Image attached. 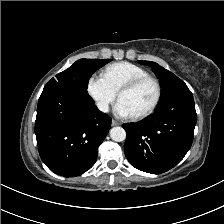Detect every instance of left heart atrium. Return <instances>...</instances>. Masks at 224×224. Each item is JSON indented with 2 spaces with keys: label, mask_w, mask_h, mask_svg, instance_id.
Instances as JSON below:
<instances>
[{
  "label": "left heart atrium",
  "mask_w": 224,
  "mask_h": 224,
  "mask_svg": "<svg viewBox=\"0 0 224 224\" xmlns=\"http://www.w3.org/2000/svg\"><path fill=\"white\" fill-rule=\"evenodd\" d=\"M114 110L115 114L119 117L130 118L134 116L131 110L127 107V105L121 100H118Z\"/></svg>",
  "instance_id": "39dd6f15"
}]
</instances>
